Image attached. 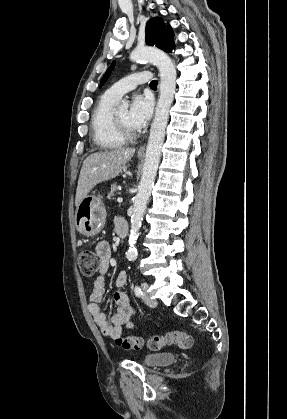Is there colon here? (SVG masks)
Instances as JSON below:
<instances>
[{
    "label": "colon",
    "mask_w": 287,
    "mask_h": 419,
    "mask_svg": "<svg viewBox=\"0 0 287 419\" xmlns=\"http://www.w3.org/2000/svg\"><path fill=\"white\" fill-rule=\"evenodd\" d=\"M81 273L84 276H93L101 268V258L91 250H83L78 257ZM116 344L126 350H139L146 346L150 350H160L166 346H177L181 349L192 347V337L182 331L167 332L162 335H154L145 340L139 336L119 337Z\"/></svg>",
    "instance_id": "5ec220e1"
}]
</instances>
